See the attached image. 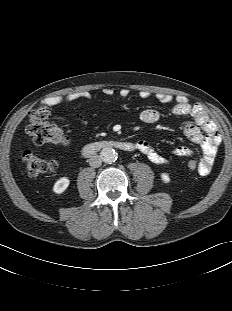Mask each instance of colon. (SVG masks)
<instances>
[{
  "label": "colon",
  "instance_id": "5ec220e1",
  "mask_svg": "<svg viewBox=\"0 0 232 311\" xmlns=\"http://www.w3.org/2000/svg\"><path fill=\"white\" fill-rule=\"evenodd\" d=\"M48 117L49 111L46 107L32 111L27 133L31 136L33 143L37 146L65 143V133L60 127L50 123ZM22 160L30 177H37L43 173L54 171L58 166L56 160L37 155L30 150L23 152ZM187 166L189 169L195 170L198 167V162L191 159Z\"/></svg>",
  "mask_w": 232,
  "mask_h": 311
}]
</instances>
